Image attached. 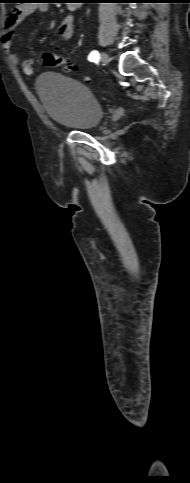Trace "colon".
<instances>
[{"mask_svg":"<svg viewBox=\"0 0 190 483\" xmlns=\"http://www.w3.org/2000/svg\"><path fill=\"white\" fill-rule=\"evenodd\" d=\"M43 63L50 68H61L64 71H74L76 67L57 52L49 51L43 55Z\"/></svg>","mask_w":190,"mask_h":483,"instance_id":"5ec220e1","label":"colon"}]
</instances>
